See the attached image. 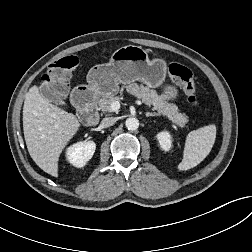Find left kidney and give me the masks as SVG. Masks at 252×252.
<instances>
[{"mask_svg":"<svg viewBox=\"0 0 252 252\" xmlns=\"http://www.w3.org/2000/svg\"><path fill=\"white\" fill-rule=\"evenodd\" d=\"M157 139L159 141V144L161 148L165 151H169L172 147V141H171V136L168 132H160L157 135Z\"/></svg>","mask_w":252,"mask_h":252,"instance_id":"1","label":"left kidney"}]
</instances>
